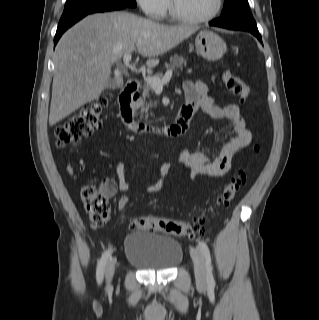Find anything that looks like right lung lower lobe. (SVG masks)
Returning a JSON list of instances; mask_svg holds the SVG:
<instances>
[{"label":"right lung lower lobe","instance_id":"right-lung-lower-lobe-1","mask_svg":"<svg viewBox=\"0 0 319 320\" xmlns=\"http://www.w3.org/2000/svg\"><path fill=\"white\" fill-rule=\"evenodd\" d=\"M125 7H128L126 5H109V6H100V7H95L92 8L90 10H87L83 13H80L76 16H74L73 18L69 19L68 21L64 22V23H59L58 24V28L56 31V35L54 37V45L57 44L59 38L61 37V35L69 28L71 27L74 23H76L77 21H79L80 19H82L83 17H85L88 14H92V13H96V12H107V11H113V10H120L123 9Z\"/></svg>","mask_w":319,"mask_h":320}]
</instances>
